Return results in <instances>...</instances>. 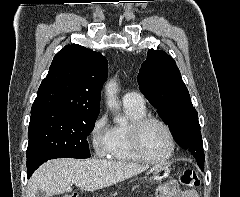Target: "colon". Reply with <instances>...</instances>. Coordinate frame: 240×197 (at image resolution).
<instances>
[{"mask_svg": "<svg viewBox=\"0 0 240 197\" xmlns=\"http://www.w3.org/2000/svg\"><path fill=\"white\" fill-rule=\"evenodd\" d=\"M181 183L187 188L191 189L192 187L200 185V178L198 173L194 170H184L180 176ZM170 189L166 186H162L159 189V194L162 197H165ZM63 197H78L76 194L64 195Z\"/></svg>", "mask_w": 240, "mask_h": 197, "instance_id": "5ec220e1", "label": "colon"}]
</instances>
